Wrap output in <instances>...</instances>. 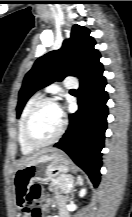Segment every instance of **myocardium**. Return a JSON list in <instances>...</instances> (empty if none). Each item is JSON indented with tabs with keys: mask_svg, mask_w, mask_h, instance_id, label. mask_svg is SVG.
<instances>
[{
	"mask_svg": "<svg viewBox=\"0 0 132 217\" xmlns=\"http://www.w3.org/2000/svg\"><path fill=\"white\" fill-rule=\"evenodd\" d=\"M45 105H54L55 107H57V109L59 110L60 115H61V122H60L58 132L56 133V135L52 139H50L46 142H37L31 136L30 125H31V122H32L34 116L36 115V113L39 111L40 108H42ZM64 129H65V121H64L62 112H61L57 102L52 98H43V99H40L38 102H36V104L32 107L29 114L27 115L25 123H24V127H23V137H24V141L26 142L27 145H29L30 147H32L34 149H39V148H44V147H47V146H50V145L56 143L61 138V136L64 132Z\"/></svg>",
	"mask_w": 132,
	"mask_h": 217,
	"instance_id": "myocardium-1",
	"label": "myocardium"
}]
</instances>
